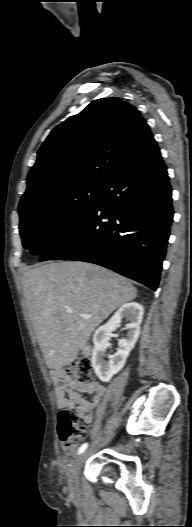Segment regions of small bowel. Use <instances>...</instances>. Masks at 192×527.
Here are the masks:
<instances>
[{
  "label": "small bowel",
  "mask_w": 192,
  "mask_h": 527,
  "mask_svg": "<svg viewBox=\"0 0 192 527\" xmlns=\"http://www.w3.org/2000/svg\"><path fill=\"white\" fill-rule=\"evenodd\" d=\"M53 377L61 392L58 400L59 406L74 408L78 417L82 418L86 424H92L94 411L105 394L104 386L96 381L77 382L61 369L53 371ZM85 393L92 394V399H85L83 396Z\"/></svg>",
  "instance_id": "obj_1"
}]
</instances>
